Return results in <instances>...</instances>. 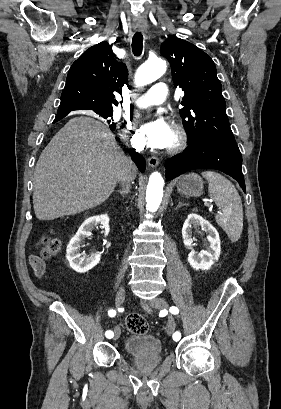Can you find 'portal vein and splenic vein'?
Here are the masks:
<instances>
[{
  "instance_id": "obj_1",
  "label": "portal vein and splenic vein",
  "mask_w": 281,
  "mask_h": 409,
  "mask_svg": "<svg viewBox=\"0 0 281 409\" xmlns=\"http://www.w3.org/2000/svg\"><path fill=\"white\" fill-rule=\"evenodd\" d=\"M203 200H212V198H211V197H201V198H200V201L203 202ZM216 213H217V214H220V213H221V210H220V209H217V210H216Z\"/></svg>"
}]
</instances>
